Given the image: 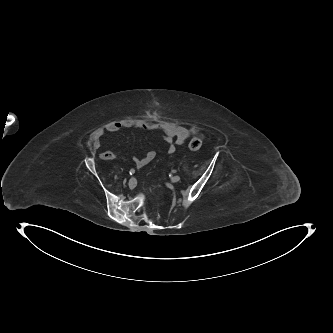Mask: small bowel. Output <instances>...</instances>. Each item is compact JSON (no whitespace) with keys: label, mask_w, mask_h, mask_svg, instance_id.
<instances>
[{"label":"small bowel","mask_w":333,"mask_h":333,"mask_svg":"<svg viewBox=\"0 0 333 333\" xmlns=\"http://www.w3.org/2000/svg\"><path fill=\"white\" fill-rule=\"evenodd\" d=\"M136 128L143 131L158 132L162 135L166 145L167 152L174 153L178 145H183L190 136L199 133L196 127H185L176 123L162 121L150 122L142 119H124L108 123L105 128H100L94 132L92 139V148L98 150L101 147V140L105 134L115 133L122 129ZM117 154L113 151H105L99 154L101 160L109 161L116 158ZM156 157L154 150H148L143 156H134L133 161L137 167H143L150 163Z\"/></svg>","instance_id":"obj_1"}]
</instances>
